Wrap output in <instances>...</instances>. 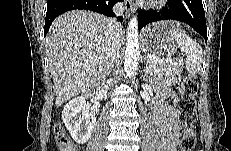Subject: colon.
Instances as JSON below:
<instances>
[{"label": "colon", "instance_id": "colon-1", "mask_svg": "<svg viewBox=\"0 0 231 151\" xmlns=\"http://www.w3.org/2000/svg\"><path fill=\"white\" fill-rule=\"evenodd\" d=\"M196 81L189 77L180 85L179 115L184 126L183 134L180 139V151H192L196 144V133L194 125L197 120L196 112ZM54 138L59 151H77L76 145L70 139L64 126L56 123L53 128Z\"/></svg>", "mask_w": 231, "mask_h": 151}]
</instances>
